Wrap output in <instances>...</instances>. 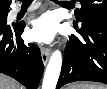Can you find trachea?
Instances as JSON below:
<instances>
[{
    "label": "trachea",
    "instance_id": "1",
    "mask_svg": "<svg viewBox=\"0 0 107 89\" xmlns=\"http://www.w3.org/2000/svg\"><path fill=\"white\" fill-rule=\"evenodd\" d=\"M21 2H22L23 5H27V4H30L32 2V0H21ZM55 2L59 3L63 6H71V3H69V2H61V1L60 2L55 1Z\"/></svg>",
    "mask_w": 107,
    "mask_h": 89
}]
</instances>
